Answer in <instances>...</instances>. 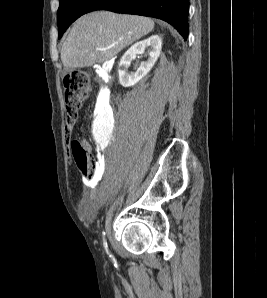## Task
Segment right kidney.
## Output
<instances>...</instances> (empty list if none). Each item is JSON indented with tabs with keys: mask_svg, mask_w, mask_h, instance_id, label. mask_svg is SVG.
I'll use <instances>...</instances> for the list:
<instances>
[{
	"mask_svg": "<svg viewBox=\"0 0 267 298\" xmlns=\"http://www.w3.org/2000/svg\"><path fill=\"white\" fill-rule=\"evenodd\" d=\"M150 47L149 58L142 62L136 73H128L131 61L137 54L144 53L145 49ZM162 48V40L158 35H152L149 38L132 45L122 56L119 63V82L123 87H131L139 82L152 69L157 61Z\"/></svg>",
	"mask_w": 267,
	"mask_h": 298,
	"instance_id": "obj_1",
	"label": "right kidney"
}]
</instances>
